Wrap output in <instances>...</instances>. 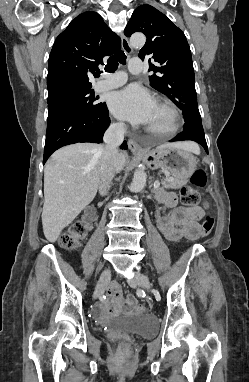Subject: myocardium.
<instances>
[{
  "label": "myocardium",
  "instance_id": "myocardium-1",
  "mask_svg": "<svg viewBox=\"0 0 249 382\" xmlns=\"http://www.w3.org/2000/svg\"><path fill=\"white\" fill-rule=\"evenodd\" d=\"M157 105L161 106L162 108L166 109L168 113L170 114V124L169 127L161 132H155L149 128H145L146 132L151 135L158 137L160 139H165L173 136L179 129L180 127V114L177 109V107L170 101L168 100H159L157 102Z\"/></svg>",
  "mask_w": 249,
  "mask_h": 382
}]
</instances>
